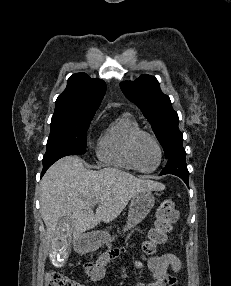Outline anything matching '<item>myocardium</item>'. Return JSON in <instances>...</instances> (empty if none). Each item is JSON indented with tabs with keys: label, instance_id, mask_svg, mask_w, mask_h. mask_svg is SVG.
Instances as JSON below:
<instances>
[{
	"label": "myocardium",
	"instance_id": "myocardium-1",
	"mask_svg": "<svg viewBox=\"0 0 231 286\" xmlns=\"http://www.w3.org/2000/svg\"><path fill=\"white\" fill-rule=\"evenodd\" d=\"M143 136H146V137L150 138L154 142V144L157 147L158 153H159V161H158L157 165L153 169H151V170H144V169H142L139 166V164L137 162V159H136V155H135L136 143H137L138 139L140 137H143ZM127 150H128V156L130 158V161L132 162V164L135 167V169L138 170L139 172H142V173H145V174L153 173L161 166V164L163 162V148H162V145H161L160 141L158 140V138L153 133H151L149 131L142 130V129H139V130L135 131L130 136V138L128 140Z\"/></svg>",
	"mask_w": 231,
	"mask_h": 286
}]
</instances>
